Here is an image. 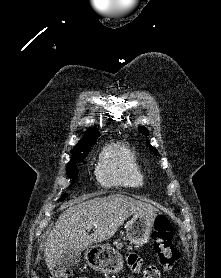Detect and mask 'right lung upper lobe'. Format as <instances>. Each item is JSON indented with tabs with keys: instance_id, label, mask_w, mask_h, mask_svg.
<instances>
[{
	"instance_id": "1",
	"label": "right lung upper lobe",
	"mask_w": 221,
	"mask_h": 278,
	"mask_svg": "<svg viewBox=\"0 0 221 278\" xmlns=\"http://www.w3.org/2000/svg\"><path fill=\"white\" fill-rule=\"evenodd\" d=\"M99 135L100 134L97 131H92L91 129L87 130L83 139H81V141L78 142V144L73 148V151L94 144Z\"/></svg>"
}]
</instances>
